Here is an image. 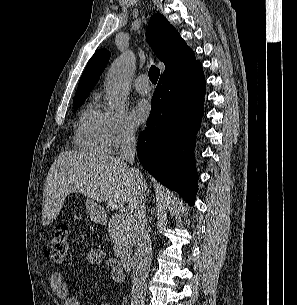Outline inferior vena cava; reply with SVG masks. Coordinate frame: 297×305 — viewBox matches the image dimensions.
<instances>
[{
  "label": "inferior vena cava",
  "instance_id": "inferior-vena-cava-1",
  "mask_svg": "<svg viewBox=\"0 0 297 305\" xmlns=\"http://www.w3.org/2000/svg\"><path fill=\"white\" fill-rule=\"evenodd\" d=\"M121 154L120 158L134 163L136 155L135 131L131 128H124L121 133ZM138 181L143 179L142 174L136 168H131ZM134 208V230H135V256L132 274L131 302L143 305L146 295V279L148 277L151 263V242L147 228L146 208L144 193H138L131 203Z\"/></svg>",
  "mask_w": 297,
  "mask_h": 305
}]
</instances>
